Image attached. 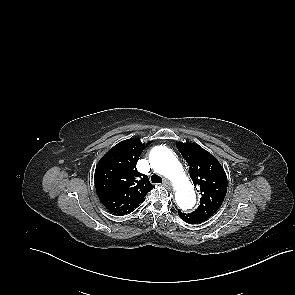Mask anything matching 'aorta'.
Returning a JSON list of instances; mask_svg holds the SVG:
<instances>
[{
    "instance_id": "762f6f07",
    "label": "aorta",
    "mask_w": 295,
    "mask_h": 295,
    "mask_svg": "<svg viewBox=\"0 0 295 295\" xmlns=\"http://www.w3.org/2000/svg\"><path fill=\"white\" fill-rule=\"evenodd\" d=\"M149 161L153 169L168 178L176 189L175 200L183 211L193 209L196 195L181 163L166 147L157 146L152 149Z\"/></svg>"
}]
</instances>
